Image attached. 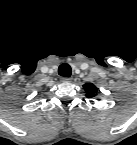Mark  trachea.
<instances>
[{
	"mask_svg": "<svg viewBox=\"0 0 137 145\" xmlns=\"http://www.w3.org/2000/svg\"><path fill=\"white\" fill-rule=\"evenodd\" d=\"M58 74L63 77H70L72 74V69L67 63H63L58 68Z\"/></svg>",
	"mask_w": 137,
	"mask_h": 145,
	"instance_id": "3493384b",
	"label": "trachea"
}]
</instances>
